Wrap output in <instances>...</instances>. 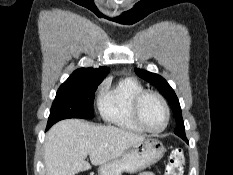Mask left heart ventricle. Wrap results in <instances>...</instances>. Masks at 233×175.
Listing matches in <instances>:
<instances>
[{
    "label": "left heart ventricle",
    "mask_w": 233,
    "mask_h": 175,
    "mask_svg": "<svg viewBox=\"0 0 233 175\" xmlns=\"http://www.w3.org/2000/svg\"><path fill=\"white\" fill-rule=\"evenodd\" d=\"M143 122L151 129H159L165 122V113L160 101L154 96L143 99L140 107Z\"/></svg>",
    "instance_id": "obj_1"
}]
</instances>
